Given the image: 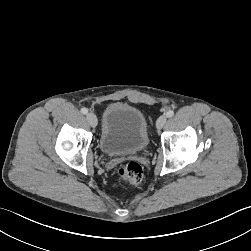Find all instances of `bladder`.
Instances as JSON below:
<instances>
[{"label":"bladder","instance_id":"obj_1","mask_svg":"<svg viewBox=\"0 0 251 251\" xmlns=\"http://www.w3.org/2000/svg\"><path fill=\"white\" fill-rule=\"evenodd\" d=\"M100 150L109 156L131 155L144 151L149 144L147 120L131 105L113 102L103 111Z\"/></svg>","mask_w":251,"mask_h":251}]
</instances>
